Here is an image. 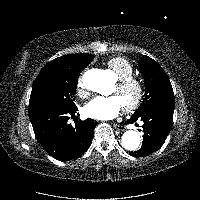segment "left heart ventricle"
Returning a JSON list of instances; mask_svg holds the SVG:
<instances>
[{
    "label": "left heart ventricle",
    "mask_w": 200,
    "mask_h": 200,
    "mask_svg": "<svg viewBox=\"0 0 200 200\" xmlns=\"http://www.w3.org/2000/svg\"><path fill=\"white\" fill-rule=\"evenodd\" d=\"M111 94L118 97L122 106H125L134 100L136 96V90L133 87L127 88L125 90H118L115 85L111 91Z\"/></svg>",
    "instance_id": "b2bd125f"
}]
</instances>
